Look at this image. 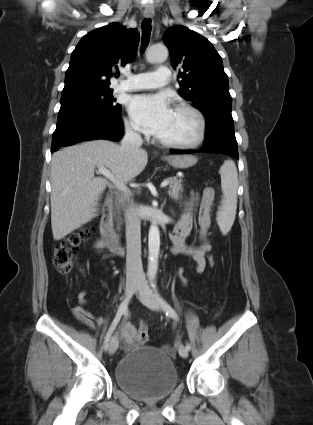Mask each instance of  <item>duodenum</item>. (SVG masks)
<instances>
[{
	"instance_id": "410a0bca",
	"label": "duodenum",
	"mask_w": 313,
	"mask_h": 425,
	"mask_svg": "<svg viewBox=\"0 0 313 425\" xmlns=\"http://www.w3.org/2000/svg\"><path fill=\"white\" fill-rule=\"evenodd\" d=\"M113 202V195L108 194L106 197V204L100 221V229L108 248L111 251L120 254L123 252V247L121 245L119 236L115 232L113 226Z\"/></svg>"
}]
</instances>
